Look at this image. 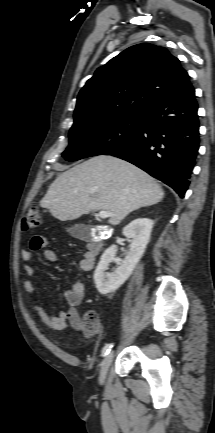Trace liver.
I'll return each instance as SVG.
<instances>
[{"mask_svg":"<svg viewBox=\"0 0 215 433\" xmlns=\"http://www.w3.org/2000/svg\"><path fill=\"white\" fill-rule=\"evenodd\" d=\"M164 197L162 187L146 172L122 159L99 155L60 174L40 204L61 221L92 211L112 214L118 225L130 212Z\"/></svg>","mask_w":215,"mask_h":433,"instance_id":"obj_1","label":"liver"}]
</instances>
